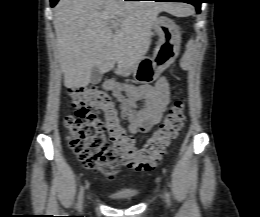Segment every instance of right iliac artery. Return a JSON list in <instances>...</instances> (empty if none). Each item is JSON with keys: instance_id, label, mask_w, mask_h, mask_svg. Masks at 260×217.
I'll return each instance as SVG.
<instances>
[{"instance_id": "82829eb1", "label": "right iliac artery", "mask_w": 260, "mask_h": 217, "mask_svg": "<svg viewBox=\"0 0 260 217\" xmlns=\"http://www.w3.org/2000/svg\"><path fill=\"white\" fill-rule=\"evenodd\" d=\"M83 195H84V187L81 186L79 194H78L77 204H76L77 210H81L82 202H83Z\"/></svg>"}]
</instances>
